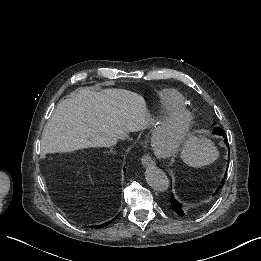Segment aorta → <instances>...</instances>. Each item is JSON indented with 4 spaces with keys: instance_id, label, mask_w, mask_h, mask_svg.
Wrapping results in <instances>:
<instances>
[{
    "instance_id": "762f6f07",
    "label": "aorta",
    "mask_w": 261,
    "mask_h": 261,
    "mask_svg": "<svg viewBox=\"0 0 261 261\" xmlns=\"http://www.w3.org/2000/svg\"><path fill=\"white\" fill-rule=\"evenodd\" d=\"M145 178L154 190L164 192L169 187V179L166 174L156 166H150L146 169Z\"/></svg>"
}]
</instances>
